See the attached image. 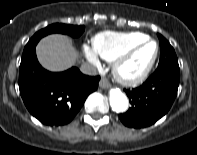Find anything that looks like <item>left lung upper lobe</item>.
<instances>
[{
    "label": "left lung upper lobe",
    "instance_id": "left-lung-upper-lobe-1",
    "mask_svg": "<svg viewBox=\"0 0 197 155\" xmlns=\"http://www.w3.org/2000/svg\"><path fill=\"white\" fill-rule=\"evenodd\" d=\"M157 35L160 41V61L158 67H162L165 65H172L179 67L178 59L173 47L162 35L160 34Z\"/></svg>",
    "mask_w": 197,
    "mask_h": 155
}]
</instances>
